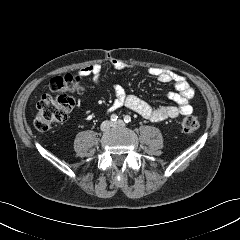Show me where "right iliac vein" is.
I'll return each mask as SVG.
<instances>
[{
    "label": "right iliac vein",
    "instance_id": "right-iliac-vein-1",
    "mask_svg": "<svg viewBox=\"0 0 240 240\" xmlns=\"http://www.w3.org/2000/svg\"><path fill=\"white\" fill-rule=\"evenodd\" d=\"M112 126V123L110 121H104L102 124H101V130L102 131H107L111 128Z\"/></svg>",
    "mask_w": 240,
    "mask_h": 240
}]
</instances>
